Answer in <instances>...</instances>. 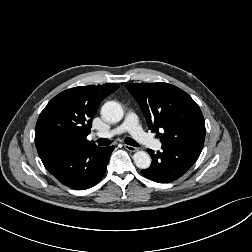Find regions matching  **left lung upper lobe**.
<instances>
[{"label": "left lung upper lobe", "mask_w": 252, "mask_h": 252, "mask_svg": "<svg viewBox=\"0 0 252 252\" xmlns=\"http://www.w3.org/2000/svg\"><path fill=\"white\" fill-rule=\"evenodd\" d=\"M125 87L139 103L149 129L160 136L162 146L202 151L206 131L204 118L186 92L163 82ZM159 128L164 132L159 134Z\"/></svg>", "instance_id": "obj_1"}]
</instances>
